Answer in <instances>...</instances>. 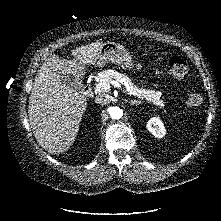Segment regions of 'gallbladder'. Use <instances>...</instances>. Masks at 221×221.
I'll return each instance as SVG.
<instances>
[{
	"label": "gallbladder",
	"mask_w": 221,
	"mask_h": 221,
	"mask_svg": "<svg viewBox=\"0 0 221 221\" xmlns=\"http://www.w3.org/2000/svg\"><path fill=\"white\" fill-rule=\"evenodd\" d=\"M57 75H60L58 72L56 73ZM59 80L63 83L66 84L67 86H72V82L70 79L66 76L59 77Z\"/></svg>",
	"instance_id": "bac80fb5"
}]
</instances>
